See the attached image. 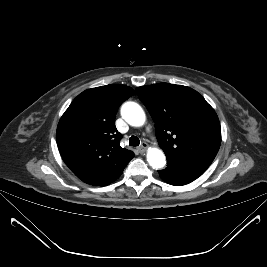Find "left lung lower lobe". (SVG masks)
Listing matches in <instances>:
<instances>
[{
    "instance_id": "left-lung-lower-lobe-1",
    "label": "left lung lower lobe",
    "mask_w": 267,
    "mask_h": 267,
    "mask_svg": "<svg viewBox=\"0 0 267 267\" xmlns=\"http://www.w3.org/2000/svg\"><path fill=\"white\" fill-rule=\"evenodd\" d=\"M159 176L171 185L181 186L188 184L204 172L203 170L195 167L177 162L171 158H167V167L160 170Z\"/></svg>"
}]
</instances>
